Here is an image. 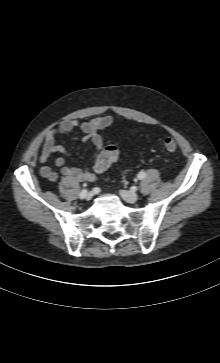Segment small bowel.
Listing matches in <instances>:
<instances>
[{
    "instance_id": "c3829d8e",
    "label": "small bowel",
    "mask_w": 220,
    "mask_h": 363,
    "mask_svg": "<svg viewBox=\"0 0 220 363\" xmlns=\"http://www.w3.org/2000/svg\"><path fill=\"white\" fill-rule=\"evenodd\" d=\"M112 121L110 116H99L83 122L78 120H66L62 122L58 127L52 128L47 132L39 156L40 162L45 163L52 155L57 153L64 156H71V152L68 149L56 144V136L58 134L69 133L79 128L84 133L83 140L92 143L96 149L92 167L82 169L76 166H67L62 158L56 159V165L60 168L61 174L70 179L94 182L97 179V175L107 167H103L105 135L100 131L109 127ZM39 172L43 178L51 182L58 180V173L49 166H42Z\"/></svg>"
}]
</instances>
